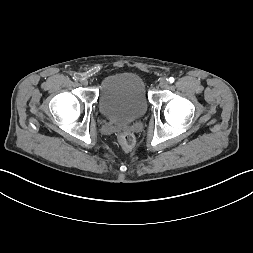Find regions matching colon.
Returning a JSON list of instances; mask_svg holds the SVG:
<instances>
[{"mask_svg":"<svg viewBox=\"0 0 253 253\" xmlns=\"http://www.w3.org/2000/svg\"><path fill=\"white\" fill-rule=\"evenodd\" d=\"M120 145L125 150H130L135 146V137L128 132H121L118 136Z\"/></svg>","mask_w":253,"mask_h":253,"instance_id":"5ec220e1","label":"colon"}]
</instances>
